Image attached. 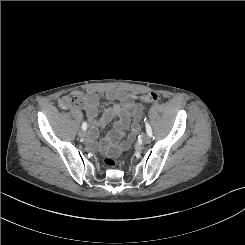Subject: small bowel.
Instances as JSON below:
<instances>
[{"instance_id": "1", "label": "small bowel", "mask_w": 245, "mask_h": 245, "mask_svg": "<svg viewBox=\"0 0 245 245\" xmlns=\"http://www.w3.org/2000/svg\"><path fill=\"white\" fill-rule=\"evenodd\" d=\"M82 96V104L72 107L85 109L92 125L90 138L93 139L98 135L99 127H105L114 119H117L104 145L113 152L125 149L140 130L139 123L143 115V106L136 101V96L122 90H107L104 93L105 98L117 100L119 103L107 107L99 119L96 118L98 115V97L96 93L90 91ZM65 97L61 100L62 105ZM126 130L130 131L128 138L124 142L119 143Z\"/></svg>"}]
</instances>
